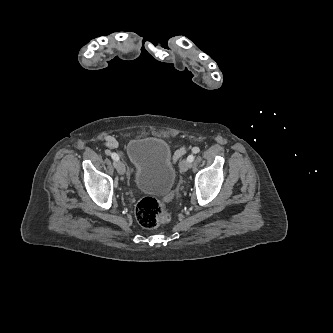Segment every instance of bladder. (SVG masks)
Here are the masks:
<instances>
[{"label": "bladder", "instance_id": "31cf9c89", "mask_svg": "<svg viewBox=\"0 0 333 333\" xmlns=\"http://www.w3.org/2000/svg\"><path fill=\"white\" fill-rule=\"evenodd\" d=\"M127 155L134 166L136 186L145 192L164 194L176 180L169 145L161 138L143 137L130 140Z\"/></svg>", "mask_w": 333, "mask_h": 333}]
</instances>
